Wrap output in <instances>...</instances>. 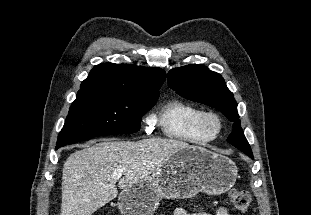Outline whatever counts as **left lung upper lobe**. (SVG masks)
I'll use <instances>...</instances> for the list:
<instances>
[{
	"mask_svg": "<svg viewBox=\"0 0 311 215\" xmlns=\"http://www.w3.org/2000/svg\"><path fill=\"white\" fill-rule=\"evenodd\" d=\"M168 84L180 96L219 109L233 124L227 142L249 157L253 154L240 126L237 103L222 76L203 65H187L168 73Z\"/></svg>",
	"mask_w": 311,
	"mask_h": 215,
	"instance_id": "1",
	"label": "left lung upper lobe"
}]
</instances>
